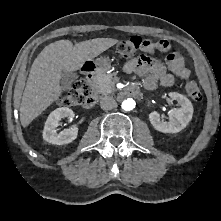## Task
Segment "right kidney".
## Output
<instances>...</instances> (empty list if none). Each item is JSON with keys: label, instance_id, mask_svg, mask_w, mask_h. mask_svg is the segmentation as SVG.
<instances>
[{"label": "right kidney", "instance_id": "1", "mask_svg": "<svg viewBox=\"0 0 221 221\" xmlns=\"http://www.w3.org/2000/svg\"><path fill=\"white\" fill-rule=\"evenodd\" d=\"M73 117L74 112L67 107L57 108L56 110L51 112L45 122L43 139L49 143L56 145H64L74 141L78 135L77 127L73 126L59 133L56 131V127H58L59 121L61 119H73Z\"/></svg>", "mask_w": 221, "mask_h": 221}]
</instances>
